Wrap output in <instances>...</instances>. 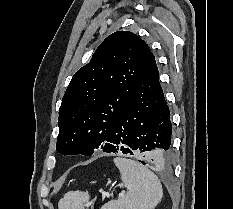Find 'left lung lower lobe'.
<instances>
[{"label": "left lung lower lobe", "mask_w": 233, "mask_h": 209, "mask_svg": "<svg viewBox=\"0 0 233 209\" xmlns=\"http://www.w3.org/2000/svg\"><path fill=\"white\" fill-rule=\"evenodd\" d=\"M155 60L137 83L125 108L112 123L104 152L145 153L144 165H163L169 158L171 121Z\"/></svg>", "instance_id": "1"}]
</instances>
